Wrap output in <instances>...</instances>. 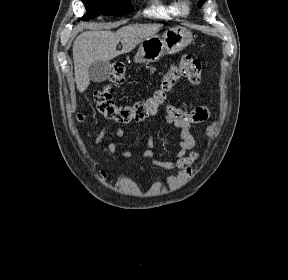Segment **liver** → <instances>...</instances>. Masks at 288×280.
Returning <instances> with one entry per match:
<instances>
[{"mask_svg":"<svg viewBox=\"0 0 288 280\" xmlns=\"http://www.w3.org/2000/svg\"><path fill=\"white\" fill-rule=\"evenodd\" d=\"M162 24H132L112 32L110 30L86 31L73 43L75 81L79 92H84L90 83L89 67L97 60L110 61L120 54L133 50L142 40L154 36ZM121 42L122 50H116Z\"/></svg>","mask_w":288,"mask_h":280,"instance_id":"obj_1","label":"liver"}]
</instances>
